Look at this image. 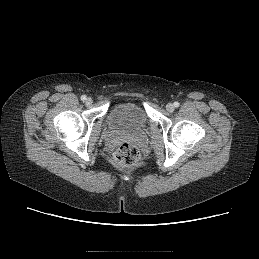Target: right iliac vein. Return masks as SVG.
<instances>
[{
  "instance_id": "63e3f726",
  "label": "right iliac vein",
  "mask_w": 259,
  "mask_h": 259,
  "mask_svg": "<svg viewBox=\"0 0 259 259\" xmlns=\"http://www.w3.org/2000/svg\"><path fill=\"white\" fill-rule=\"evenodd\" d=\"M85 103H86V105H91L92 103H93V100H92V98H87L86 100H85Z\"/></svg>"
}]
</instances>
